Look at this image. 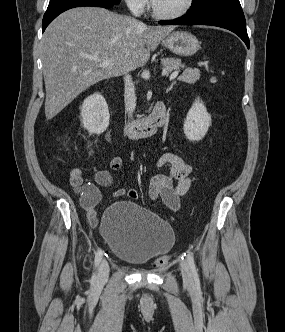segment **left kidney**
<instances>
[{
	"mask_svg": "<svg viewBox=\"0 0 285 332\" xmlns=\"http://www.w3.org/2000/svg\"><path fill=\"white\" fill-rule=\"evenodd\" d=\"M210 125L211 116L198 98L187 113L183 126L184 134L190 141H200Z\"/></svg>",
	"mask_w": 285,
	"mask_h": 332,
	"instance_id": "5707ae66",
	"label": "left kidney"
}]
</instances>
